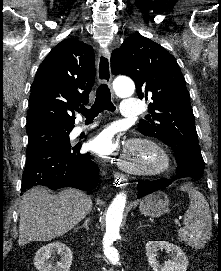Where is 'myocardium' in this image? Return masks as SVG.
<instances>
[{
	"label": "myocardium",
	"mask_w": 221,
	"mask_h": 271,
	"mask_svg": "<svg viewBox=\"0 0 221 271\" xmlns=\"http://www.w3.org/2000/svg\"><path fill=\"white\" fill-rule=\"evenodd\" d=\"M141 140H154L150 137H138L135 134L133 140H128L131 145L130 151L135 150V155H143L141 157L116 158L114 161L120 163L118 170L120 172H137L138 175L160 174L169 171L168 166L172 165L169 158H165L164 154L168 150H160V145L153 142H141Z\"/></svg>",
	"instance_id": "1"
}]
</instances>
